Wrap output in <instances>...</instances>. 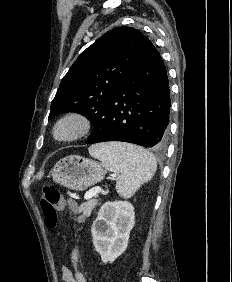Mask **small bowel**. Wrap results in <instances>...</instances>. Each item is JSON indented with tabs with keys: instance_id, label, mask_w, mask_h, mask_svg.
I'll return each instance as SVG.
<instances>
[{
	"instance_id": "1",
	"label": "small bowel",
	"mask_w": 232,
	"mask_h": 282,
	"mask_svg": "<svg viewBox=\"0 0 232 282\" xmlns=\"http://www.w3.org/2000/svg\"><path fill=\"white\" fill-rule=\"evenodd\" d=\"M80 253L78 247L73 248L70 255L72 268L63 265L61 268L62 278L65 282H88L79 269Z\"/></svg>"
}]
</instances>
